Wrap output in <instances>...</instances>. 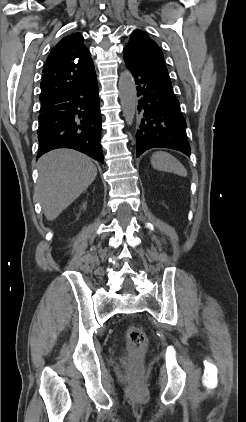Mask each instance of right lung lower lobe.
<instances>
[{"mask_svg": "<svg viewBox=\"0 0 246 422\" xmlns=\"http://www.w3.org/2000/svg\"><path fill=\"white\" fill-rule=\"evenodd\" d=\"M39 113L38 157L56 148H72L104 162L96 76L41 103Z\"/></svg>", "mask_w": 246, "mask_h": 422, "instance_id": "98d812e1", "label": "right lung lower lobe"}]
</instances>
